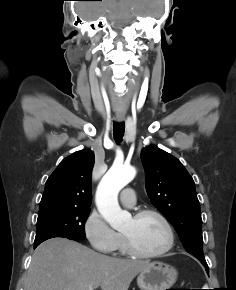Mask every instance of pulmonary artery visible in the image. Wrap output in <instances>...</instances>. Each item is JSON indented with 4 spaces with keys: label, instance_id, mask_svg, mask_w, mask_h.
Returning a JSON list of instances; mask_svg holds the SVG:
<instances>
[{
    "label": "pulmonary artery",
    "instance_id": "pulmonary-artery-1",
    "mask_svg": "<svg viewBox=\"0 0 236 290\" xmlns=\"http://www.w3.org/2000/svg\"><path fill=\"white\" fill-rule=\"evenodd\" d=\"M123 205L131 207L136 203V194L132 188H125L120 196Z\"/></svg>",
    "mask_w": 236,
    "mask_h": 290
}]
</instances>
